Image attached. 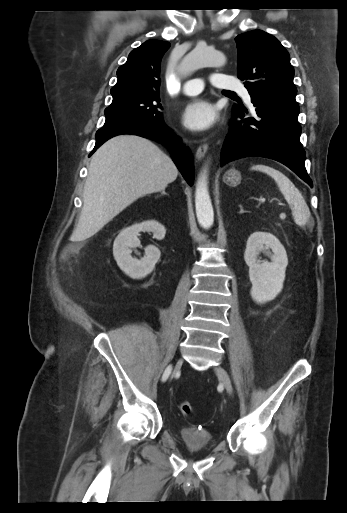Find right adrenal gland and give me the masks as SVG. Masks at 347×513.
I'll return each instance as SVG.
<instances>
[{
	"label": "right adrenal gland",
	"instance_id": "1",
	"mask_svg": "<svg viewBox=\"0 0 347 513\" xmlns=\"http://www.w3.org/2000/svg\"><path fill=\"white\" fill-rule=\"evenodd\" d=\"M163 195H167V193L165 192V190H163V191L161 192V194H160L159 196H157V198H158V197H160V196H163Z\"/></svg>",
	"mask_w": 347,
	"mask_h": 513
}]
</instances>
